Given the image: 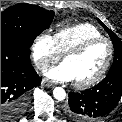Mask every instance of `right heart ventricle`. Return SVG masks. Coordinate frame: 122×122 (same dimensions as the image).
Listing matches in <instances>:
<instances>
[{
    "label": "right heart ventricle",
    "mask_w": 122,
    "mask_h": 122,
    "mask_svg": "<svg viewBox=\"0 0 122 122\" xmlns=\"http://www.w3.org/2000/svg\"><path fill=\"white\" fill-rule=\"evenodd\" d=\"M101 36L102 33L94 25L90 23H78L58 29L53 38L58 51L62 55L88 39Z\"/></svg>",
    "instance_id": "e07e8e85"
}]
</instances>
